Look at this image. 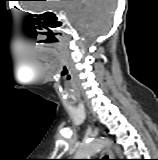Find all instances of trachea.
<instances>
[{
	"label": "trachea",
	"mask_w": 158,
	"mask_h": 160,
	"mask_svg": "<svg viewBox=\"0 0 158 160\" xmlns=\"http://www.w3.org/2000/svg\"><path fill=\"white\" fill-rule=\"evenodd\" d=\"M103 160H109V159H108V157H107V156H105Z\"/></svg>",
	"instance_id": "1"
}]
</instances>
